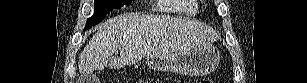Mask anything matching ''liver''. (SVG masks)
<instances>
[{
  "mask_svg": "<svg viewBox=\"0 0 307 83\" xmlns=\"http://www.w3.org/2000/svg\"><path fill=\"white\" fill-rule=\"evenodd\" d=\"M217 34L191 19L123 14L106 20L79 56V72L88 75L105 67L121 68L151 55H171L200 44ZM120 56H113L117 51Z\"/></svg>",
  "mask_w": 307,
  "mask_h": 83,
  "instance_id": "6515ba94",
  "label": "liver"
}]
</instances>
